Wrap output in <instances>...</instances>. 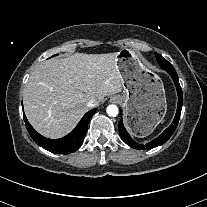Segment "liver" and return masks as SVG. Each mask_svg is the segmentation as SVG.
<instances>
[{
  "label": "liver",
  "instance_id": "1",
  "mask_svg": "<svg viewBox=\"0 0 207 207\" xmlns=\"http://www.w3.org/2000/svg\"><path fill=\"white\" fill-rule=\"evenodd\" d=\"M117 52L75 53L41 63L24 90V111L41 135L57 139L68 134L88 111L87 103L122 90Z\"/></svg>",
  "mask_w": 207,
  "mask_h": 207
}]
</instances>
